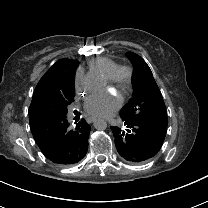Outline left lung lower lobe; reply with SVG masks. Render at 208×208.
I'll list each match as a JSON object with an SVG mask.
<instances>
[{"label":"left lung lower lobe","mask_w":208,"mask_h":208,"mask_svg":"<svg viewBox=\"0 0 208 208\" xmlns=\"http://www.w3.org/2000/svg\"><path fill=\"white\" fill-rule=\"evenodd\" d=\"M121 127H110L118 153L131 163H144L160 150L166 131L138 118L120 115Z\"/></svg>","instance_id":"left-lung-lower-lobe-1"}]
</instances>
